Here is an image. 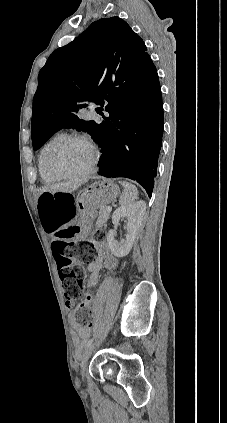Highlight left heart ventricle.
<instances>
[{
	"instance_id": "b2bd125f",
	"label": "left heart ventricle",
	"mask_w": 227,
	"mask_h": 423,
	"mask_svg": "<svg viewBox=\"0 0 227 423\" xmlns=\"http://www.w3.org/2000/svg\"><path fill=\"white\" fill-rule=\"evenodd\" d=\"M93 150L86 144L75 142L64 147L56 157L57 163L67 172L85 171L92 163Z\"/></svg>"
}]
</instances>
